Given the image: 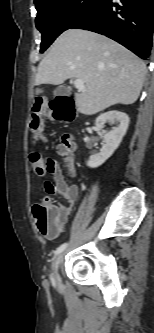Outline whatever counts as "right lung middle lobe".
I'll use <instances>...</instances> for the list:
<instances>
[{
    "mask_svg": "<svg viewBox=\"0 0 154 333\" xmlns=\"http://www.w3.org/2000/svg\"><path fill=\"white\" fill-rule=\"evenodd\" d=\"M101 0H39L36 27L42 33L44 52L62 32L88 16Z\"/></svg>",
    "mask_w": 154,
    "mask_h": 333,
    "instance_id": "obj_1",
    "label": "right lung middle lobe"
}]
</instances>
